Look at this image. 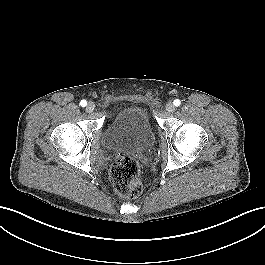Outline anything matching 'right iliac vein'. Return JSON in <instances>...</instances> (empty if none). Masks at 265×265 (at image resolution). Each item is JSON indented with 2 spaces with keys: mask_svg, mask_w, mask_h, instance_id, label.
<instances>
[{
  "mask_svg": "<svg viewBox=\"0 0 265 265\" xmlns=\"http://www.w3.org/2000/svg\"><path fill=\"white\" fill-rule=\"evenodd\" d=\"M94 109H95V105H94V103H93V102H89L88 105L86 106V111H87L88 113H91V112L94 111Z\"/></svg>",
  "mask_w": 265,
  "mask_h": 265,
  "instance_id": "right-iliac-vein-1",
  "label": "right iliac vein"
}]
</instances>
